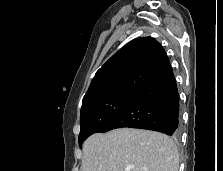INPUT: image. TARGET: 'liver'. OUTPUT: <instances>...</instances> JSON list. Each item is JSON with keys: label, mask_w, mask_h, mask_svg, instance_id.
Here are the masks:
<instances>
[{"label": "liver", "mask_w": 223, "mask_h": 171, "mask_svg": "<svg viewBox=\"0 0 223 171\" xmlns=\"http://www.w3.org/2000/svg\"><path fill=\"white\" fill-rule=\"evenodd\" d=\"M179 153L165 134L134 128L96 133L83 144L81 171H178Z\"/></svg>", "instance_id": "obj_1"}]
</instances>
